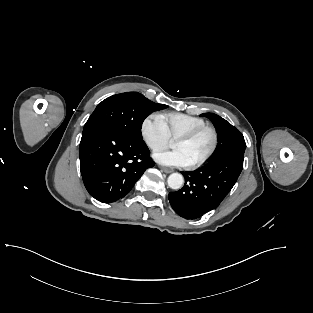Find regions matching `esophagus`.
<instances>
[{
	"label": "esophagus",
	"instance_id": "esophagus-1",
	"mask_svg": "<svg viewBox=\"0 0 313 313\" xmlns=\"http://www.w3.org/2000/svg\"><path fill=\"white\" fill-rule=\"evenodd\" d=\"M160 169L165 172V173H172L173 169L172 168H166V167H160Z\"/></svg>",
	"mask_w": 313,
	"mask_h": 313
}]
</instances>
